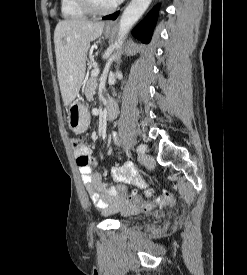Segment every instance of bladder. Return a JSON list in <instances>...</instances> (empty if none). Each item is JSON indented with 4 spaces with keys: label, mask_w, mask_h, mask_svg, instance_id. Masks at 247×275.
Instances as JSON below:
<instances>
[{
    "label": "bladder",
    "mask_w": 247,
    "mask_h": 275,
    "mask_svg": "<svg viewBox=\"0 0 247 275\" xmlns=\"http://www.w3.org/2000/svg\"><path fill=\"white\" fill-rule=\"evenodd\" d=\"M135 214H136V212L134 210H132V209L127 210V212H126V214H125L122 221L124 223L129 222L131 220V218L133 217V215H135Z\"/></svg>",
    "instance_id": "obj_1"
}]
</instances>
